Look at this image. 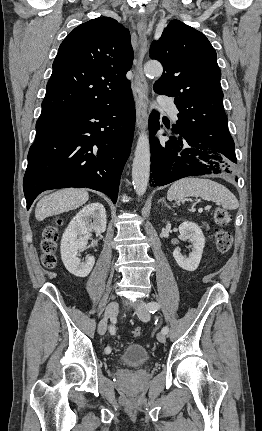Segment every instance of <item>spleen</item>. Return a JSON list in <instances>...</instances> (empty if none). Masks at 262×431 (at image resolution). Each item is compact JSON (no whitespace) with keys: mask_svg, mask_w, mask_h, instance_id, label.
Returning a JSON list of instances; mask_svg holds the SVG:
<instances>
[{"mask_svg":"<svg viewBox=\"0 0 262 431\" xmlns=\"http://www.w3.org/2000/svg\"><path fill=\"white\" fill-rule=\"evenodd\" d=\"M187 196L218 202L228 210H235L239 206L237 198L230 190L210 179L186 177L174 182L167 192V199L170 201L181 200Z\"/></svg>","mask_w":262,"mask_h":431,"instance_id":"spleen-1","label":"spleen"}]
</instances>
